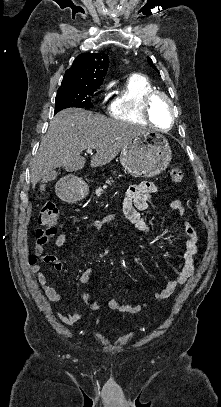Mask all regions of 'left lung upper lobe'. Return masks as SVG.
<instances>
[{
  "instance_id": "obj_1",
  "label": "left lung upper lobe",
  "mask_w": 221,
  "mask_h": 407,
  "mask_svg": "<svg viewBox=\"0 0 221 407\" xmlns=\"http://www.w3.org/2000/svg\"><path fill=\"white\" fill-rule=\"evenodd\" d=\"M147 60H148L149 64L151 65V67L155 68V70L158 72V70L156 69V67L152 63V60L149 57H147Z\"/></svg>"
}]
</instances>
